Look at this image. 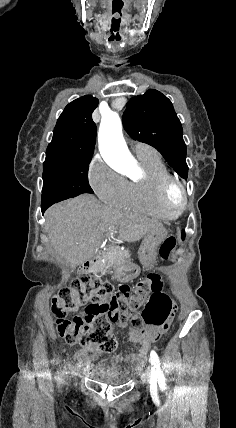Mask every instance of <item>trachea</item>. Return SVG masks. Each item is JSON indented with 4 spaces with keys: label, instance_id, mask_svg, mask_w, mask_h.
I'll list each match as a JSON object with an SVG mask.
<instances>
[{
    "label": "trachea",
    "instance_id": "3493384b",
    "mask_svg": "<svg viewBox=\"0 0 236 428\" xmlns=\"http://www.w3.org/2000/svg\"><path fill=\"white\" fill-rule=\"evenodd\" d=\"M112 18H113L114 22L110 23L109 28H110L111 31H118L119 28H120L119 20H120L121 17H120L119 14L116 13V14L113 15Z\"/></svg>",
    "mask_w": 236,
    "mask_h": 428
}]
</instances>
